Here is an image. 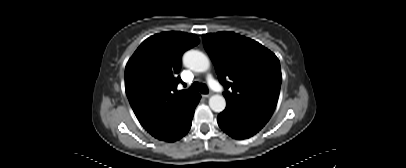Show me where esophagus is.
Masks as SVG:
<instances>
[{
  "instance_id": "34e87169",
  "label": "esophagus",
  "mask_w": 406,
  "mask_h": 168,
  "mask_svg": "<svg viewBox=\"0 0 406 168\" xmlns=\"http://www.w3.org/2000/svg\"><path fill=\"white\" fill-rule=\"evenodd\" d=\"M211 95H212V93H208V94H203L202 96H203L204 98H209Z\"/></svg>"
}]
</instances>
